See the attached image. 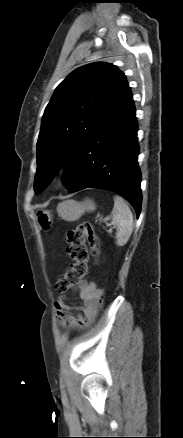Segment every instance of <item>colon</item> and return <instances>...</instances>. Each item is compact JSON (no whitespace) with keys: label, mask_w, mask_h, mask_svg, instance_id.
I'll use <instances>...</instances> for the list:
<instances>
[{"label":"colon","mask_w":183,"mask_h":438,"mask_svg":"<svg viewBox=\"0 0 183 438\" xmlns=\"http://www.w3.org/2000/svg\"><path fill=\"white\" fill-rule=\"evenodd\" d=\"M66 249L70 259V268L56 281L54 289L64 293L82 282L89 272L90 256H98L100 240L90 223H81L67 234Z\"/></svg>","instance_id":"5ec220e1"}]
</instances>
